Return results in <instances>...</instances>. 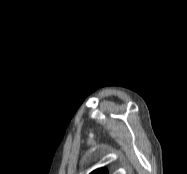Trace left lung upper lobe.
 Returning a JSON list of instances; mask_svg holds the SVG:
<instances>
[{
    "label": "left lung upper lobe",
    "mask_w": 187,
    "mask_h": 174,
    "mask_svg": "<svg viewBox=\"0 0 187 174\" xmlns=\"http://www.w3.org/2000/svg\"><path fill=\"white\" fill-rule=\"evenodd\" d=\"M90 174H107V171L104 168H100V169H97V170L93 171Z\"/></svg>",
    "instance_id": "left-lung-upper-lobe-1"
}]
</instances>
